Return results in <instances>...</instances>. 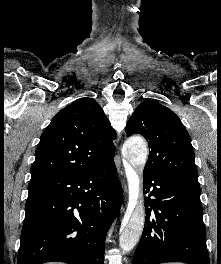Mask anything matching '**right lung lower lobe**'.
I'll return each instance as SVG.
<instances>
[{"instance_id": "obj_1", "label": "right lung lower lobe", "mask_w": 221, "mask_h": 264, "mask_svg": "<svg viewBox=\"0 0 221 264\" xmlns=\"http://www.w3.org/2000/svg\"><path fill=\"white\" fill-rule=\"evenodd\" d=\"M28 191L18 264H103L106 234L122 201L114 157L30 182Z\"/></svg>"}]
</instances>
